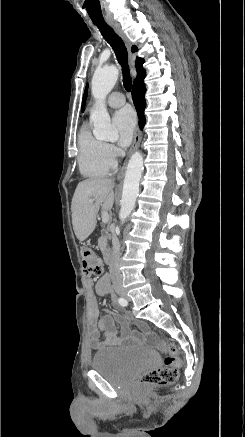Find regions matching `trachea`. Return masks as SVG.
I'll return each instance as SVG.
<instances>
[{
	"mask_svg": "<svg viewBox=\"0 0 245 437\" xmlns=\"http://www.w3.org/2000/svg\"><path fill=\"white\" fill-rule=\"evenodd\" d=\"M98 27L104 39L111 45L114 53L117 57L119 64L122 67L123 85L127 92L131 91L132 78L130 76V70L128 65V52L123 40L114 32L104 21H93Z\"/></svg>",
	"mask_w": 245,
	"mask_h": 437,
	"instance_id": "obj_1",
	"label": "trachea"
}]
</instances>
